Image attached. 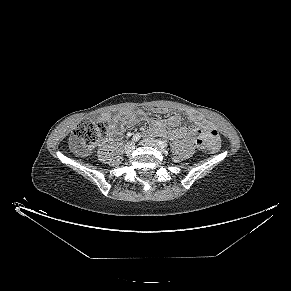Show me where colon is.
<instances>
[{
    "instance_id": "obj_1",
    "label": "colon",
    "mask_w": 291,
    "mask_h": 291,
    "mask_svg": "<svg viewBox=\"0 0 291 291\" xmlns=\"http://www.w3.org/2000/svg\"><path fill=\"white\" fill-rule=\"evenodd\" d=\"M109 136L108 126L101 120H84L80 122L71 139V145L79 152H90L95 146L105 141ZM210 153H216L220 149V141L218 135L207 146Z\"/></svg>"
}]
</instances>
